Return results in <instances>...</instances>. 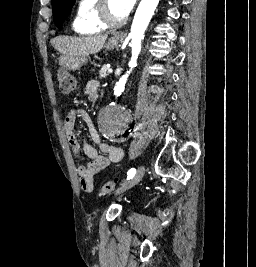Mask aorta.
Returning <instances> with one entry per match:
<instances>
[{
    "label": "aorta",
    "mask_w": 256,
    "mask_h": 267,
    "mask_svg": "<svg viewBox=\"0 0 256 267\" xmlns=\"http://www.w3.org/2000/svg\"><path fill=\"white\" fill-rule=\"evenodd\" d=\"M160 0H141L133 18L129 38L132 50V58L126 66V71H133L137 66L136 60L141 52V42L144 40L145 30L159 4ZM130 72H123L120 80H127ZM121 84V83H120ZM113 97H120L123 86H116ZM100 127H125V122H131V117H126L127 108H119V104H108V108H100ZM97 133H101V138H107V143H129V138H116V133H120V128H97Z\"/></svg>",
    "instance_id": "aorta-1"
}]
</instances>
